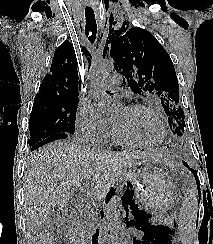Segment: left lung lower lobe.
Segmentation results:
<instances>
[{
	"label": "left lung lower lobe",
	"mask_w": 213,
	"mask_h": 244,
	"mask_svg": "<svg viewBox=\"0 0 213 244\" xmlns=\"http://www.w3.org/2000/svg\"><path fill=\"white\" fill-rule=\"evenodd\" d=\"M182 162H183L184 166H186L187 168H189V169L191 170V172L194 174L195 179H196V182H197L198 192H199V195H200V185H199V181H198L197 174L194 172V170H193L192 168L189 167V165H188L186 162H184V161H182ZM199 199H200V198H199ZM122 203H123V205H124V209H125L126 211H128V207H127L126 205H127L129 202H128V200H127V198H126L125 195L122 197Z\"/></svg>",
	"instance_id": "obj_1"
}]
</instances>
